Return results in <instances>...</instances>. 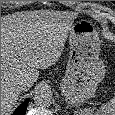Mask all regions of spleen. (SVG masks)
<instances>
[{
  "instance_id": "obj_1",
  "label": "spleen",
  "mask_w": 115,
  "mask_h": 115,
  "mask_svg": "<svg viewBox=\"0 0 115 115\" xmlns=\"http://www.w3.org/2000/svg\"><path fill=\"white\" fill-rule=\"evenodd\" d=\"M74 115H115V96L107 104L94 112L91 108H85L81 111H75Z\"/></svg>"
}]
</instances>
